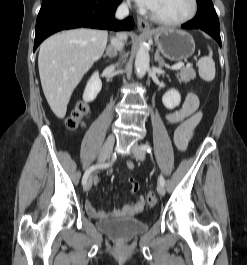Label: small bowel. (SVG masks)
I'll return each mask as SVG.
<instances>
[{
    "label": "small bowel",
    "instance_id": "c3829d8e",
    "mask_svg": "<svg viewBox=\"0 0 247 265\" xmlns=\"http://www.w3.org/2000/svg\"><path fill=\"white\" fill-rule=\"evenodd\" d=\"M199 108V98L193 92H188L184 99L182 106L166 114L165 118L170 124H178L174 133V140L177 148L180 151H185L189 141L191 140L195 129L202 120L203 113ZM134 167L131 161L128 162V168ZM98 183L97 179H94V184ZM145 207V200L143 197H139L137 200L125 204L115 210L101 211L94 207L89 201L85 202L86 211L97 219H111L125 216H135Z\"/></svg>",
    "mask_w": 247,
    "mask_h": 265
}]
</instances>
